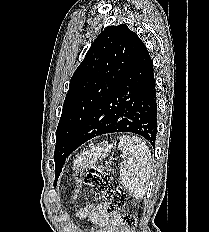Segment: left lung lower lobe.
I'll use <instances>...</instances> for the list:
<instances>
[{
  "mask_svg": "<svg viewBox=\"0 0 209 232\" xmlns=\"http://www.w3.org/2000/svg\"><path fill=\"white\" fill-rule=\"evenodd\" d=\"M114 132L138 134L155 147V79L152 60L142 41L123 79L76 132L70 145V154L88 140Z\"/></svg>",
  "mask_w": 209,
  "mask_h": 232,
  "instance_id": "0a47b994",
  "label": "left lung lower lobe"
}]
</instances>
